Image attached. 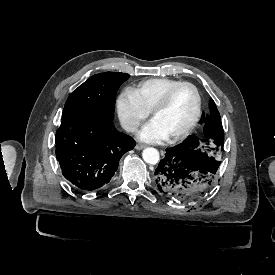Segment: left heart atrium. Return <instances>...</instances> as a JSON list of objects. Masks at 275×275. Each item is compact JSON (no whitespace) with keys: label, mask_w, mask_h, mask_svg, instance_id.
Masks as SVG:
<instances>
[{"label":"left heart atrium","mask_w":275,"mask_h":275,"mask_svg":"<svg viewBox=\"0 0 275 275\" xmlns=\"http://www.w3.org/2000/svg\"><path fill=\"white\" fill-rule=\"evenodd\" d=\"M139 138L148 142H155L165 140L168 135L161 129V127L153 120L147 124L140 132Z\"/></svg>","instance_id":"obj_1"}]
</instances>
